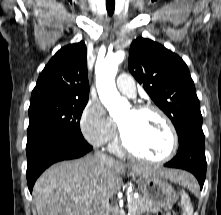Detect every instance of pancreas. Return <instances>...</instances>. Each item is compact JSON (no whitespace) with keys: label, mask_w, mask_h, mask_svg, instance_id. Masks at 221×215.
<instances>
[{"label":"pancreas","mask_w":221,"mask_h":215,"mask_svg":"<svg viewBox=\"0 0 221 215\" xmlns=\"http://www.w3.org/2000/svg\"><path fill=\"white\" fill-rule=\"evenodd\" d=\"M128 210L130 215H141L144 212H157L160 209L154 207L146 198H132L128 202Z\"/></svg>","instance_id":"obj_1"}]
</instances>
